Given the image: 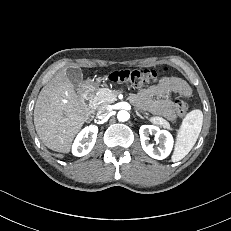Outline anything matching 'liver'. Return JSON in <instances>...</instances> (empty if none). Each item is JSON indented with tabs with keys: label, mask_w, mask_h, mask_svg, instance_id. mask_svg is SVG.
Returning <instances> with one entry per match:
<instances>
[{
	"label": "liver",
	"mask_w": 231,
	"mask_h": 231,
	"mask_svg": "<svg viewBox=\"0 0 231 231\" xmlns=\"http://www.w3.org/2000/svg\"><path fill=\"white\" fill-rule=\"evenodd\" d=\"M85 102L78 97L66 69L60 70L40 91L34 124L41 141L49 149L68 153L76 134L89 119Z\"/></svg>",
	"instance_id": "obj_1"
}]
</instances>
